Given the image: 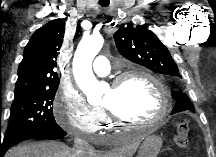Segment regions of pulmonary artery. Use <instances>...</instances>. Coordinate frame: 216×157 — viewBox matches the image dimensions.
Wrapping results in <instances>:
<instances>
[{
  "label": "pulmonary artery",
  "mask_w": 216,
  "mask_h": 157,
  "mask_svg": "<svg viewBox=\"0 0 216 157\" xmlns=\"http://www.w3.org/2000/svg\"><path fill=\"white\" fill-rule=\"evenodd\" d=\"M92 67L93 71L100 76L107 75L110 72L109 60L103 55H99L95 58Z\"/></svg>",
  "instance_id": "e3ab8cb5"
}]
</instances>
